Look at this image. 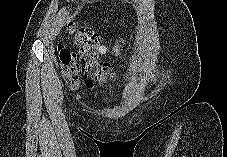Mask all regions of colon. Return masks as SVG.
I'll list each match as a JSON object with an SVG mask.
<instances>
[{
    "label": "colon",
    "instance_id": "1",
    "mask_svg": "<svg viewBox=\"0 0 227 157\" xmlns=\"http://www.w3.org/2000/svg\"><path fill=\"white\" fill-rule=\"evenodd\" d=\"M68 32L79 47V53L69 47L58 46V57L65 82L72 88L78 87L81 72H91L93 79L101 84L112 78L109 65L97 59L98 47L101 45L100 36L87 28L74 29L69 26Z\"/></svg>",
    "mask_w": 227,
    "mask_h": 157
}]
</instances>
